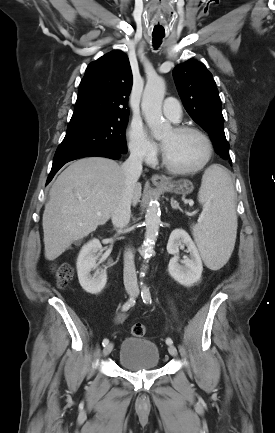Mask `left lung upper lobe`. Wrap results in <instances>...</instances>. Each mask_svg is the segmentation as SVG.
<instances>
[{"mask_svg":"<svg viewBox=\"0 0 275 433\" xmlns=\"http://www.w3.org/2000/svg\"><path fill=\"white\" fill-rule=\"evenodd\" d=\"M173 77L188 114L209 133L217 153L228 158L221 100L212 74L203 63L190 59L174 68Z\"/></svg>","mask_w":275,"mask_h":433,"instance_id":"1","label":"left lung upper lobe"}]
</instances>
